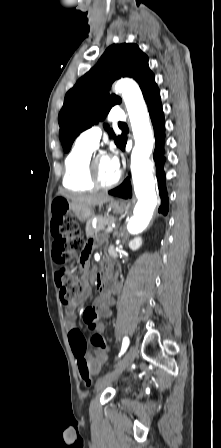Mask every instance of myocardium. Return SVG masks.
<instances>
[{
    "label": "myocardium",
    "instance_id": "1",
    "mask_svg": "<svg viewBox=\"0 0 221 448\" xmlns=\"http://www.w3.org/2000/svg\"><path fill=\"white\" fill-rule=\"evenodd\" d=\"M96 157L97 155H91L89 158V178L91 180V182L94 184L95 187L97 188H102V189H108V188H112L115 185L118 184V182L120 181V175L118 174L117 177L111 181V182H104L98 173L97 170V165H96Z\"/></svg>",
    "mask_w": 221,
    "mask_h": 448
}]
</instances>
